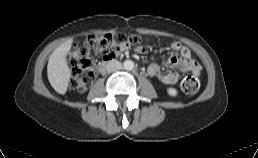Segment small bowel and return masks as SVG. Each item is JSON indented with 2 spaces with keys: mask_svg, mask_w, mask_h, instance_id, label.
Returning <instances> with one entry per match:
<instances>
[{
  "mask_svg": "<svg viewBox=\"0 0 258 158\" xmlns=\"http://www.w3.org/2000/svg\"><path fill=\"white\" fill-rule=\"evenodd\" d=\"M171 49L177 51L179 55H172L166 59L165 64L173 67L174 71L160 73L158 64L149 65L147 72L151 77H155L159 83L172 85L179 80L180 72H191L193 75L199 77L201 75V66L192 59L190 50L182 45L180 42H173L170 45ZM138 52H146V47L140 46L136 49Z\"/></svg>",
  "mask_w": 258,
  "mask_h": 158,
  "instance_id": "1",
  "label": "small bowel"
}]
</instances>
